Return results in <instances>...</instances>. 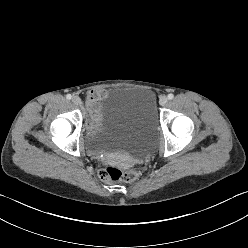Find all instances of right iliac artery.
Segmentation results:
<instances>
[{"label":"right iliac artery","mask_w":248,"mask_h":248,"mask_svg":"<svg viewBox=\"0 0 248 248\" xmlns=\"http://www.w3.org/2000/svg\"><path fill=\"white\" fill-rule=\"evenodd\" d=\"M66 98H67L68 100H70V99L72 98L71 94H67V95H66Z\"/></svg>","instance_id":"obj_1"}]
</instances>
